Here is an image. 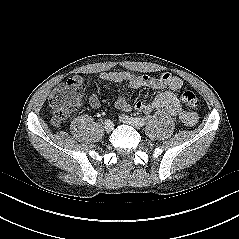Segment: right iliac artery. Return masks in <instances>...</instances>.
Masks as SVG:
<instances>
[{"label":"right iliac artery","instance_id":"obj_1","mask_svg":"<svg viewBox=\"0 0 239 239\" xmlns=\"http://www.w3.org/2000/svg\"><path fill=\"white\" fill-rule=\"evenodd\" d=\"M105 124H113V123H111V119H105Z\"/></svg>","mask_w":239,"mask_h":239}]
</instances>
